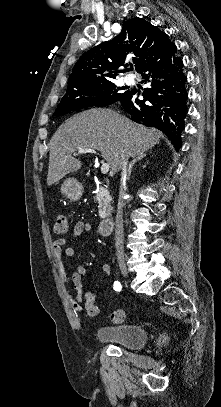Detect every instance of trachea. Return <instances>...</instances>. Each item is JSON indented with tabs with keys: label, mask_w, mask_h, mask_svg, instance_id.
<instances>
[{
	"label": "trachea",
	"mask_w": 221,
	"mask_h": 407,
	"mask_svg": "<svg viewBox=\"0 0 221 407\" xmlns=\"http://www.w3.org/2000/svg\"><path fill=\"white\" fill-rule=\"evenodd\" d=\"M130 70L133 71V67H132V66L130 67Z\"/></svg>",
	"instance_id": "obj_1"
}]
</instances>
